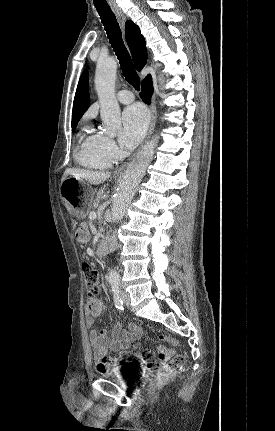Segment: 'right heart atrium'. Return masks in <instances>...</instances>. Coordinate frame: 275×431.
<instances>
[{"label":"right heart atrium","instance_id":"right-heart-atrium-1","mask_svg":"<svg viewBox=\"0 0 275 431\" xmlns=\"http://www.w3.org/2000/svg\"><path fill=\"white\" fill-rule=\"evenodd\" d=\"M102 150L104 154L112 160L118 159L121 155V150L117 146L116 142L110 137H103Z\"/></svg>","mask_w":275,"mask_h":431}]
</instances>
